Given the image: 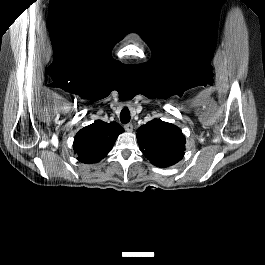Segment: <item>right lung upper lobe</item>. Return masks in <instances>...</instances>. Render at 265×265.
Returning a JSON list of instances; mask_svg holds the SVG:
<instances>
[{"label": "right lung upper lobe", "mask_w": 265, "mask_h": 265, "mask_svg": "<svg viewBox=\"0 0 265 265\" xmlns=\"http://www.w3.org/2000/svg\"><path fill=\"white\" fill-rule=\"evenodd\" d=\"M124 129L116 122L101 120L82 128L74 138L73 149L82 163H97L112 149Z\"/></svg>", "instance_id": "1"}]
</instances>
